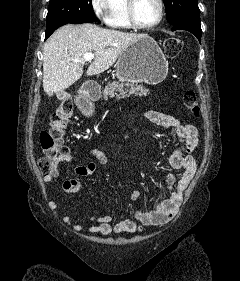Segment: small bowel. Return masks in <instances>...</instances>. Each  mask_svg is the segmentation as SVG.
<instances>
[{
    "mask_svg": "<svg viewBox=\"0 0 240 281\" xmlns=\"http://www.w3.org/2000/svg\"><path fill=\"white\" fill-rule=\"evenodd\" d=\"M144 117L151 123L169 128L172 133L178 137L179 145L169 157L171 167L181 172V176L177 178L174 174L169 173L166 177V182L170 190L168 198L161 201L147 211H136L134 219H123L113 224L111 216H92L87 218L93 223L87 231L90 233H98L104 236L120 233H135L143 230L145 227L160 226L175 217L177 214L186 188L194 177L196 171V162L193 152L199 146L198 131L194 125L182 124L175 117L155 111L148 110L144 112ZM91 156L101 165H110V161L106 153L100 149H91ZM74 156L72 154L59 156L52 162L53 170L50 174L44 175L45 182H57L59 180L58 164L60 162H72ZM97 168L94 161H90L85 165L76 166L70 173V176L61 179L62 189L67 193H76L81 189V183L78 177H86L92 175ZM139 191L132 193V199L136 200L139 197ZM50 207L53 210L59 208V203L50 202ZM66 224L71 223L72 218L66 214L62 218ZM74 230L80 231L83 229L81 223H76L73 226Z\"/></svg>",
    "mask_w": 240,
    "mask_h": 281,
    "instance_id": "1",
    "label": "small bowel"
}]
</instances>
